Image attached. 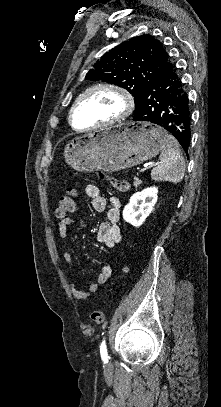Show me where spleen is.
<instances>
[{"label": "spleen", "mask_w": 221, "mask_h": 407, "mask_svg": "<svg viewBox=\"0 0 221 407\" xmlns=\"http://www.w3.org/2000/svg\"><path fill=\"white\" fill-rule=\"evenodd\" d=\"M160 163L151 171L152 179L156 181H168L179 183L185 173V160L177 140L166 136V146L160 154Z\"/></svg>", "instance_id": "obj_1"}]
</instances>
